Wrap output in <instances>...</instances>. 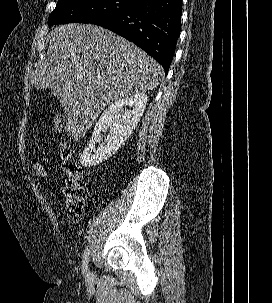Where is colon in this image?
Listing matches in <instances>:
<instances>
[{"instance_id": "1", "label": "colon", "mask_w": 272, "mask_h": 303, "mask_svg": "<svg viewBox=\"0 0 272 303\" xmlns=\"http://www.w3.org/2000/svg\"><path fill=\"white\" fill-rule=\"evenodd\" d=\"M53 131H62L61 117H55L53 120ZM63 170L67 176V181L63 190L64 203L68 216L72 220H79L84 212L87 190L82 181V172L80 166L76 163L71 147L64 144L60 153ZM33 173L39 179L49 177V168L42 159H35L32 164Z\"/></svg>"}]
</instances>
